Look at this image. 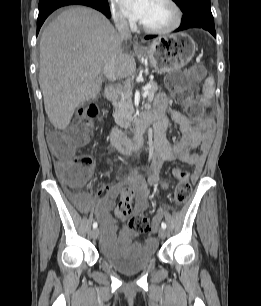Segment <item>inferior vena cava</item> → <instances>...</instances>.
<instances>
[{
	"label": "inferior vena cava",
	"mask_w": 261,
	"mask_h": 306,
	"mask_svg": "<svg viewBox=\"0 0 261 306\" xmlns=\"http://www.w3.org/2000/svg\"><path fill=\"white\" fill-rule=\"evenodd\" d=\"M115 26L118 31L120 39L127 40L131 38V31L129 28V24L123 17H116L115 18ZM115 62H116V54L111 57V59L105 64L104 66V74L109 79L114 81L116 79V69H115Z\"/></svg>",
	"instance_id": "obj_1"
}]
</instances>
